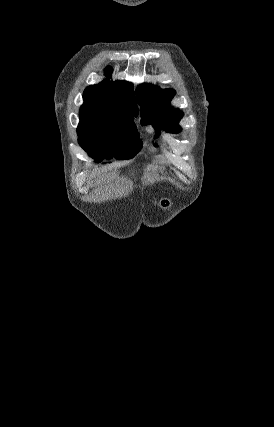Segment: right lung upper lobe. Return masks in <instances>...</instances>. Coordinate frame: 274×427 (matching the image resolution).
<instances>
[{
  "instance_id": "cb5924a9",
  "label": "right lung upper lobe",
  "mask_w": 274,
  "mask_h": 427,
  "mask_svg": "<svg viewBox=\"0 0 274 427\" xmlns=\"http://www.w3.org/2000/svg\"><path fill=\"white\" fill-rule=\"evenodd\" d=\"M111 74V68L106 69ZM84 104L80 114L92 115L106 112H130L138 114L133 86L125 81H105L87 87L83 93Z\"/></svg>"
}]
</instances>
